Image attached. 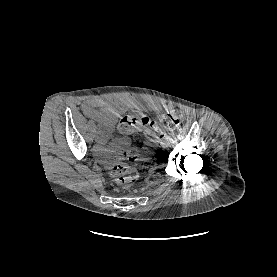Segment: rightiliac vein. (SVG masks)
Wrapping results in <instances>:
<instances>
[{"mask_svg":"<svg viewBox=\"0 0 277 277\" xmlns=\"http://www.w3.org/2000/svg\"><path fill=\"white\" fill-rule=\"evenodd\" d=\"M95 140L99 141V136L98 135L95 136Z\"/></svg>","mask_w":277,"mask_h":277,"instance_id":"1","label":"right iliac vein"}]
</instances>
